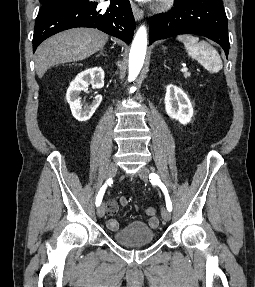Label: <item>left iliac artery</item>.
Listing matches in <instances>:
<instances>
[{"label":"left iliac artery","instance_id":"44dca946","mask_svg":"<svg viewBox=\"0 0 255 287\" xmlns=\"http://www.w3.org/2000/svg\"><path fill=\"white\" fill-rule=\"evenodd\" d=\"M149 179H150V182L152 184H157L161 190L163 191L164 195H165V200H166V207L169 211H172V203H171V200H170V197H169V194H168V191H167V188L165 187V185L160 181L159 177L157 174L155 173H151L149 175Z\"/></svg>","mask_w":255,"mask_h":287}]
</instances>
